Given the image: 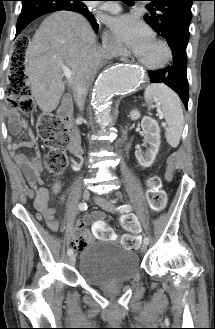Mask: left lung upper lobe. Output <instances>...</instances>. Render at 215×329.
Wrapping results in <instances>:
<instances>
[{"mask_svg": "<svg viewBox=\"0 0 215 329\" xmlns=\"http://www.w3.org/2000/svg\"><path fill=\"white\" fill-rule=\"evenodd\" d=\"M151 15H144V20L160 36L176 34L189 40V26L192 18L191 6L195 0H149Z\"/></svg>", "mask_w": 215, "mask_h": 329, "instance_id": "obj_1", "label": "left lung upper lobe"}]
</instances>
